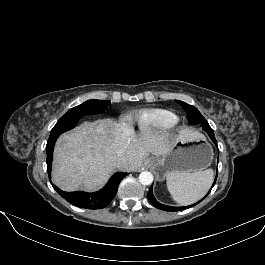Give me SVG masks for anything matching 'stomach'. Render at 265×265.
Returning a JSON list of instances; mask_svg holds the SVG:
<instances>
[{"instance_id": "0dacf381", "label": "stomach", "mask_w": 265, "mask_h": 265, "mask_svg": "<svg viewBox=\"0 0 265 265\" xmlns=\"http://www.w3.org/2000/svg\"><path fill=\"white\" fill-rule=\"evenodd\" d=\"M213 151L203 136L193 139L177 140L170 150L154 165L160 178L170 173H194L206 169L212 162Z\"/></svg>"}]
</instances>
